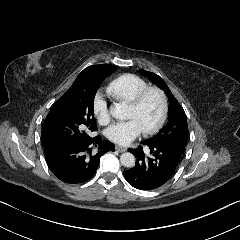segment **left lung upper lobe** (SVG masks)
I'll use <instances>...</instances> for the list:
<instances>
[{
  "label": "left lung upper lobe",
  "mask_w": 240,
  "mask_h": 240,
  "mask_svg": "<svg viewBox=\"0 0 240 240\" xmlns=\"http://www.w3.org/2000/svg\"><path fill=\"white\" fill-rule=\"evenodd\" d=\"M140 72L160 87L165 92L169 100L168 123L155 136L143 141L142 143L175 146L184 151L188 138V124L182 106L173 96L167 84L160 76L145 70H140Z\"/></svg>",
  "instance_id": "left-lung-upper-lobe-1"
}]
</instances>
